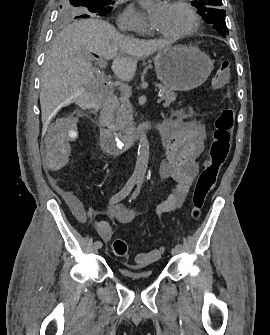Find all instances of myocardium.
<instances>
[{"label": "myocardium", "instance_id": "f54148a6", "mask_svg": "<svg viewBox=\"0 0 270 335\" xmlns=\"http://www.w3.org/2000/svg\"><path fill=\"white\" fill-rule=\"evenodd\" d=\"M175 7L178 9L184 10L190 16L192 23H191V26L187 30L181 33L173 34L172 37L185 38L195 33L200 27L201 21H200L198 14L195 12L192 6L190 4H177ZM172 78H180V77H172Z\"/></svg>", "mask_w": 270, "mask_h": 335}]
</instances>
